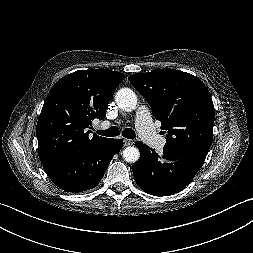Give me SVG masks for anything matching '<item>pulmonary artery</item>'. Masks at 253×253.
Masks as SVG:
<instances>
[{"label":"pulmonary artery","instance_id":"e3ab8cb5","mask_svg":"<svg viewBox=\"0 0 253 253\" xmlns=\"http://www.w3.org/2000/svg\"><path fill=\"white\" fill-rule=\"evenodd\" d=\"M108 122L102 123V127H107ZM136 125L139 135L146 141V143L153 148L162 149L166 144V138L160 136L153 125L151 115L147 108L141 107L137 111Z\"/></svg>","mask_w":253,"mask_h":253}]
</instances>
